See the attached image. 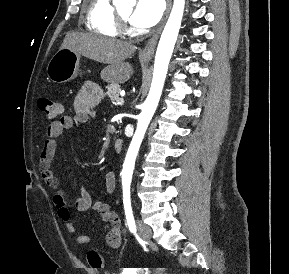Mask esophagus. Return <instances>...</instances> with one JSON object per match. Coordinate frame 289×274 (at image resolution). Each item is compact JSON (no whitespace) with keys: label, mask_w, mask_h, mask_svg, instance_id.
Returning <instances> with one entry per match:
<instances>
[{"label":"esophagus","mask_w":289,"mask_h":274,"mask_svg":"<svg viewBox=\"0 0 289 274\" xmlns=\"http://www.w3.org/2000/svg\"><path fill=\"white\" fill-rule=\"evenodd\" d=\"M171 4H172V0H167V8L164 14V17L161 21L160 26L156 29V31L153 33V35L151 36V38L148 40V42L146 43L145 47L143 48V50L141 51V54L143 56H151L154 54L155 51V47L159 38V35L162 31V28L166 22V19L168 17V14L170 12V8H171Z\"/></svg>","instance_id":"34e87169"}]
</instances>
